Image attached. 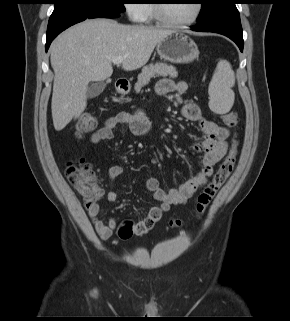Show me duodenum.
<instances>
[{"mask_svg":"<svg viewBox=\"0 0 290 321\" xmlns=\"http://www.w3.org/2000/svg\"><path fill=\"white\" fill-rule=\"evenodd\" d=\"M117 87L120 91L124 92L128 88V82L126 80L120 79L117 81Z\"/></svg>","mask_w":290,"mask_h":321,"instance_id":"obj_1","label":"duodenum"}]
</instances>
